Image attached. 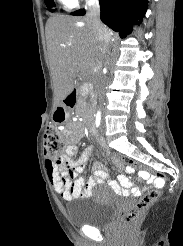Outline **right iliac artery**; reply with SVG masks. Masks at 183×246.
I'll return each mask as SVG.
<instances>
[{
	"instance_id": "obj_1",
	"label": "right iliac artery",
	"mask_w": 183,
	"mask_h": 246,
	"mask_svg": "<svg viewBox=\"0 0 183 246\" xmlns=\"http://www.w3.org/2000/svg\"><path fill=\"white\" fill-rule=\"evenodd\" d=\"M101 121V112H97L96 114V126L99 127Z\"/></svg>"
}]
</instances>
